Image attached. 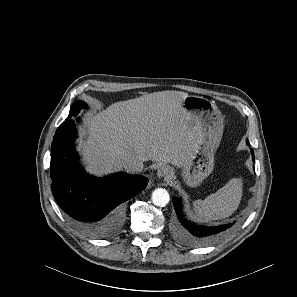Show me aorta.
<instances>
[{
	"instance_id": "762f6f07",
	"label": "aorta",
	"mask_w": 297,
	"mask_h": 297,
	"mask_svg": "<svg viewBox=\"0 0 297 297\" xmlns=\"http://www.w3.org/2000/svg\"><path fill=\"white\" fill-rule=\"evenodd\" d=\"M152 203L159 207H164L170 200L169 193L163 188L155 189L152 193Z\"/></svg>"
}]
</instances>
